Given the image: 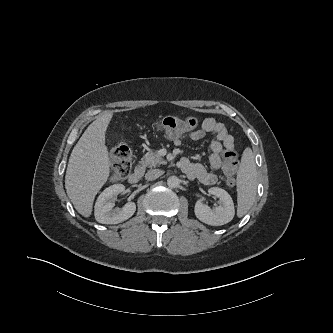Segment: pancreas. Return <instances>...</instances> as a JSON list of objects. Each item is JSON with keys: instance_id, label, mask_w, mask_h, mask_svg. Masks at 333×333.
I'll use <instances>...</instances> for the list:
<instances>
[{"instance_id": "obj_1", "label": "pancreas", "mask_w": 333, "mask_h": 333, "mask_svg": "<svg viewBox=\"0 0 333 333\" xmlns=\"http://www.w3.org/2000/svg\"><path fill=\"white\" fill-rule=\"evenodd\" d=\"M165 163L166 162L162 159V157L156 152L146 153L143 156L142 161L140 162V164L143 168H146V167L152 168V167L160 166Z\"/></svg>"}]
</instances>
